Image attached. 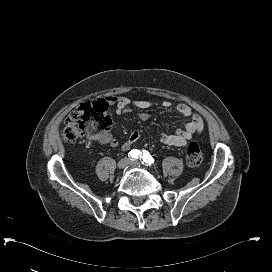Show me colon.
Wrapping results in <instances>:
<instances>
[{
    "label": "colon",
    "instance_id": "1",
    "mask_svg": "<svg viewBox=\"0 0 272 272\" xmlns=\"http://www.w3.org/2000/svg\"><path fill=\"white\" fill-rule=\"evenodd\" d=\"M109 103L106 100L88 102L72 110L64 120L62 130L63 141L86 138L95 142L102 133L111 126ZM203 156L197 143L189 144L186 152L187 165L196 169L200 166Z\"/></svg>",
    "mask_w": 272,
    "mask_h": 272
}]
</instances>
